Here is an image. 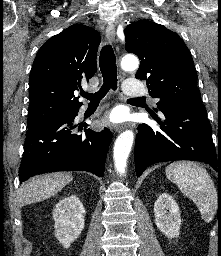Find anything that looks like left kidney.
Returning <instances> with one entry per match:
<instances>
[{"instance_id":"5707ae66","label":"left kidney","mask_w":221,"mask_h":256,"mask_svg":"<svg viewBox=\"0 0 221 256\" xmlns=\"http://www.w3.org/2000/svg\"><path fill=\"white\" fill-rule=\"evenodd\" d=\"M155 224L167 237L176 238L180 234L181 218L176 201L168 193L159 195L154 204Z\"/></svg>"}]
</instances>
